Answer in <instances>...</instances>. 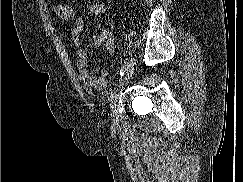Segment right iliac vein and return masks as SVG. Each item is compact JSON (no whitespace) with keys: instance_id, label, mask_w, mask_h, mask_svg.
<instances>
[{"instance_id":"obj_1","label":"right iliac vein","mask_w":243,"mask_h":182,"mask_svg":"<svg viewBox=\"0 0 243 182\" xmlns=\"http://www.w3.org/2000/svg\"><path fill=\"white\" fill-rule=\"evenodd\" d=\"M134 66H135V60L131 59L130 62L128 63V66L126 68V71L124 73V75L121 77V79L119 80L117 87L114 91V93L111 96V111H112V121L113 123L116 122V118H115V107H116V103H117V98H118V93L120 91V89L126 84L128 83L129 79L131 78L132 74H133V70H134Z\"/></svg>"}]
</instances>
